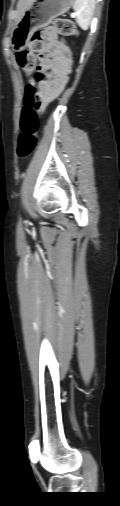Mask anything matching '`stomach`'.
<instances>
[{"label":"stomach","instance_id":"stomach-1","mask_svg":"<svg viewBox=\"0 0 120 506\" xmlns=\"http://www.w3.org/2000/svg\"><path fill=\"white\" fill-rule=\"evenodd\" d=\"M73 5L74 0H34L12 31L13 50L18 52L25 49L36 28L49 24L52 19L66 13Z\"/></svg>","mask_w":120,"mask_h":506}]
</instances>
